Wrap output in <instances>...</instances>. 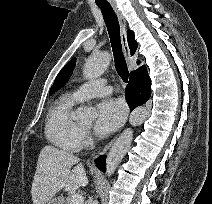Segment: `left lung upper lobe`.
<instances>
[{"instance_id":"5c2ea615","label":"left lung upper lobe","mask_w":212,"mask_h":204,"mask_svg":"<svg viewBox=\"0 0 212 204\" xmlns=\"http://www.w3.org/2000/svg\"><path fill=\"white\" fill-rule=\"evenodd\" d=\"M76 63V58L70 60L63 69L57 75L53 86L50 89V95L53 94L56 90L60 89L64 84L69 80L72 75L73 68Z\"/></svg>"}]
</instances>
